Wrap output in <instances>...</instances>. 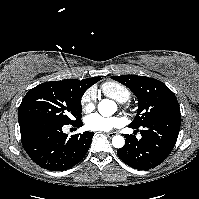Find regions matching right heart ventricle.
I'll use <instances>...</instances> for the list:
<instances>
[{"label": "right heart ventricle", "instance_id": "obj_1", "mask_svg": "<svg viewBox=\"0 0 199 199\" xmlns=\"http://www.w3.org/2000/svg\"><path fill=\"white\" fill-rule=\"evenodd\" d=\"M105 95L119 102L127 101L131 96V90L117 82H107L102 86Z\"/></svg>", "mask_w": 199, "mask_h": 199}]
</instances>
